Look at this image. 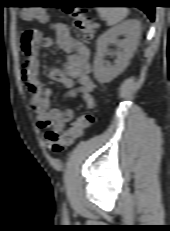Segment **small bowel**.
<instances>
[{"instance_id": "c3829d8e", "label": "small bowel", "mask_w": 170, "mask_h": 231, "mask_svg": "<svg viewBox=\"0 0 170 231\" xmlns=\"http://www.w3.org/2000/svg\"><path fill=\"white\" fill-rule=\"evenodd\" d=\"M55 39L44 37L36 30H27L21 39V47L26 55L22 69V78L31 96V104L37 115V125L41 129L51 128L59 133L63 131L67 122L72 120L73 111H61L52 107L51 89L42 84L39 79L40 51L56 44L67 53L66 64L63 69L51 68L49 77L61 83L68 92L67 98L81 97L87 110L93 109L95 102L92 92L95 84L90 77V49L77 40L64 23H54Z\"/></svg>"}]
</instances>
